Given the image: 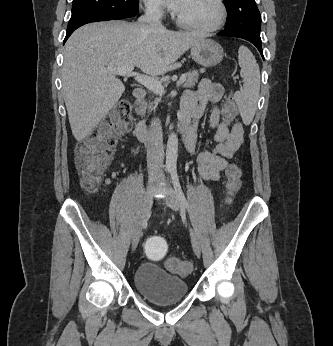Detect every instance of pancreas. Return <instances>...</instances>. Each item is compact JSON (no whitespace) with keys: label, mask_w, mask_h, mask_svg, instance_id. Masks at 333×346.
I'll list each match as a JSON object with an SVG mask.
<instances>
[{"label":"pancreas","mask_w":333,"mask_h":346,"mask_svg":"<svg viewBox=\"0 0 333 346\" xmlns=\"http://www.w3.org/2000/svg\"><path fill=\"white\" fill-rule=\"evenodd\" d=\"M198 72L197 71H189L186 73V80L185 83L183 84V86L185 88H192L195 86V84L198 82ZM161 101L160 98H156L154 102L151 103H145L143 105V112H145L147 109H149V111L155 110V108L157 107L158 103Z\"/></svg>","instance_id":"pancreas-1"}]
</instances>
